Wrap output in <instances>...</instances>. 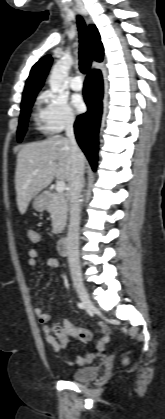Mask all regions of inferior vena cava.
Listing matches in <instances>:
<instances>
[{"instance_id":"obj_1","label":"inferior vena cava","mask_w":165,"mask_h":419,"mask_svg":"<svg viewBox=\"0 0 165 419\" xmlns=\"http://www.w3.org/2000/svg\"><path fill=\"white\" fill-rule=\"evenodd\" d=\"M74 117H68L66 121V136L71 146L72 170L69 182L70 200V222L67 237V252L70 270L73 276H81L79 263V224H80V204L79 198L84 186V163L83 154L75 140Z\"/></svg>"}]
</instances>
